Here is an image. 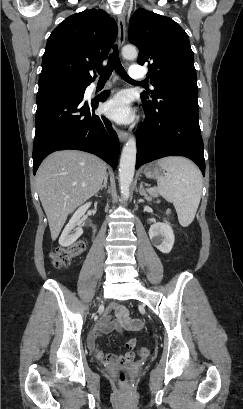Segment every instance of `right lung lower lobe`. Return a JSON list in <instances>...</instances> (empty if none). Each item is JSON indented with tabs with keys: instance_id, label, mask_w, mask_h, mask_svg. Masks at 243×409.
<instances>
[{
	"instance_id": "right-lung-lower-lobe-1",
	"label": "right lung lower lobe",
	"mask_w": 243,
	"mask_h": 409,
	"mask_svg": "<svg viewBox=\"0 0 243 409\" xmlns=\"http://www.w3.org/2000/svg\"><path fill=\"white\" fill-rule=\"evenodd\" d=\"M84 91L37 98L34 174L47 155L64 149L95 154L116 169L120 149L117 134L107 118L94 113L99 101H105L108 93L105 91L99 99L87 103L83 102Z\"/></svg>"
}]
</instances>
